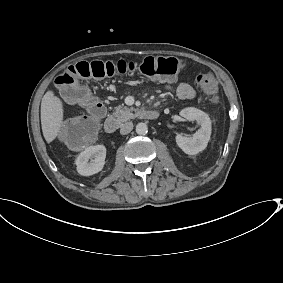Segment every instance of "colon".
Instances as JSON below:
<instances>
[{"label": "colon", "instance_id": "5ec220e1", "mask_svg": "<svg viewBox=\"0 0 283 283\" xmlns=\"http://www.w3.org/2000/svg\"><path fill=\"white\" fill-rule=\"evenodd\" d=\"M184 67L175 57L149 56L141 61L79 62L66 68L55 80L63 98L86 111V114L67 120L61 130V139L71 147H83L95 136L105 109L84 79H102L117 74L139 73L151 78L172 79ZM196 85L213 102H217L218 82L213 73L199 74Z\"/></svg>", "mask_w": 283, "mask_h": 283}]
</instances>
